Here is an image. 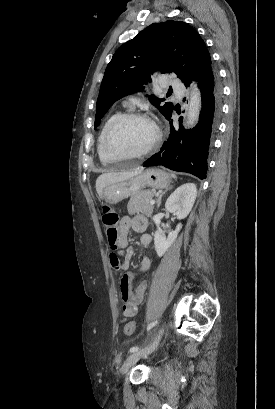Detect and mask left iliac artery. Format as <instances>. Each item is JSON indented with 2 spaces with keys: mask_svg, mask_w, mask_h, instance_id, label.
Listing matches in <instances>:
<instances>
[{
  "mask_svg": "<svg viewBox=\"0 0 275 409\" xmlns=\"http://www.w3.org/2000/svg\"><path fill=\"white\" fill-rule=\"evenodd\" d=\"M157 323H158L157 321H154V322L150 323V324L148 325V327H147V331H149L151 328H153ZM139 350H140V348L136 346V347L130 348L129 351H130L131 353H133V352H136V351H139Z\"/></svg>",
  "mask_w": 275,
  "mask_h": 409,
  "instance_id": "44dca946",
  "label": "left iliac artery"
}]
</instances>
